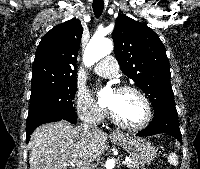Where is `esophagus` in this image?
<instances>
[{"label":"esophagus","instance_id":"esophagus-1","mask_svg":"<svg viewBox=\"0 0 200 169\" xmlns=\"http://www.w3.org/2000/svg\"><path fill=\"white\" fill-rule=\"evenodd\" d=\"M112 136H114V137H123V133H121L120 131H114L112 133Z\"/></svg>","mask_w":200,"mask_h":169}]
</instances>
